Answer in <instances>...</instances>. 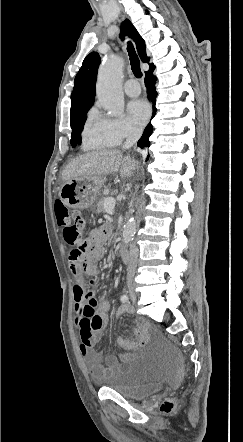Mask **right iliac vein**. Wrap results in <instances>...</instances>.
<instances>
[{
  "instance_id": "obj_1",
  "label": "right iliac vein",
  "mask_w": 243,
  "mask_h": 442,
  "mask_svg": "<svg viewBox=\"0 0 243 442\" xmlns=\"http://www.w3.org/2000/svg\"><path fill=\"white\" fill-rule=\"evenodd\" d=\"M127 292L129 293L131 299H132L133 301H136L137 296H136V292H135V290H134V285H133L132 283H130V284L128 285V287H127Z\"/></svg>"
}]
</instances>
